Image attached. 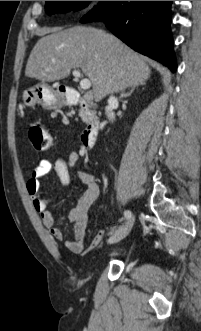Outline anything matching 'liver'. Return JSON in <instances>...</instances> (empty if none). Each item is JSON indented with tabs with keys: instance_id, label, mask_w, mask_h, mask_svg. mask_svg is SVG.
I'll return each instance as SVG.
<instances>
[{
	"instance_id": "6515ba94",
	"label": "liver",
	"mask_w": 201,
	"mask_h": 331,
	"mask_svg": "<svg viewBox=\"0 0 201 331\" xmlns=\"http://www.w3.org/2000/svg\"><path fill=\"white\" fill-rule=\"evenodd\" d=\"M81 69L90 79L94 99L144 83L150 68L144 58L115 36L90 27L52 30L34 46L25 75L44 82L67 78Z\"/></svg>"
}]
</instances>
